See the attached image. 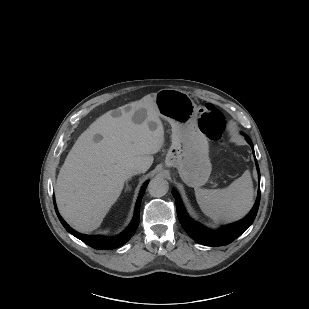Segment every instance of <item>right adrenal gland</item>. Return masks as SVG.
<instances>
[{"label":"right adrenal gland","mask_w":309,"mask_h":309,"mask_svg":"<svg viewBox=\"0 0 309 309\" xmlns=\"http://www.w3.org/2000/svg\"><path fill=\"white\" fill-rule=\"evenodd\" d=\"M129 180H130V179H129ZM129 180L126 181V188H125V191H130V190H131L130 186L128 185V181H129Z\"/></svg>","instance_id":"right-adrenal-gland-1"}]
</instances>
